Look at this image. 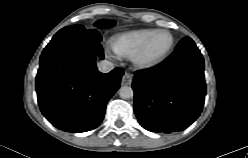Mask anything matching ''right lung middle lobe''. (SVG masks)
<instances>
[{"label": "right lung middle lobe", "mask_w": 248, "mask_h": 158, "mask_svg": "<svg viewBox=\"0 0 248 158\" xmlns=\"http://www.w3.org/2000/svg\"><path fill=\"white\" fill-rule=\"evenodd\" d=\"M115 25L114 20H106L101 19L94 23L96 29H103V28H110ZM85 28L82 25H72L62 28L59 32H66V31H83Z\"/></svg>", "instance_id": "1"}]
</instances>
